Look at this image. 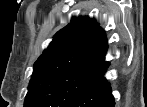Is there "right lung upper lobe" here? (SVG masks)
Masks as SVG:
<instances>
[{
  "label": "right lung upper lobe",
  "mask_w": 147,
  "mask_h": 107,
  "mask_svg": "<svg viewBox=\"0 0 147 107\" xmlns=\"http://www.w3.org/2000/svg\"><path fill=\"white\" fill-rule=\"evenodd\" d=\"M105 31L88 17L72 19L58 31L34 64L32 76L58 74L77 69L104 68L107 50Z\"/></svg>",
  "instance_id": "cb5924a9"
}]
</instances>
